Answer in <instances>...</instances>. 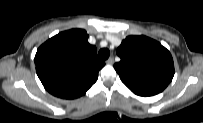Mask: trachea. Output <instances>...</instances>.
Listing matches in <instances>:
<instances>
[{
	"mask_svg": "<svg viewBox=\"0 0 203 123\" xmlns=\"http://www.w3.org/2000/svg\"><path fill=\"white\" fill-rule=\"evenodd\" d=\"M109 55H110V51H109L108 49H106V48L101 49V50L99 51V58H100L101 60H106V59H108Z\"/></svg>",
	"mask_w": 203,
	"mask_h": 123,
	"instance_id": "obj_1",
	"label": "trachea"
}]
</instances>
